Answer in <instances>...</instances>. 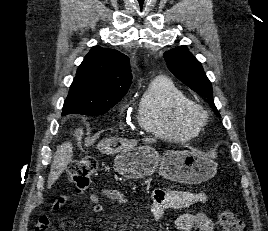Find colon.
<instances>
[{"instance_id":"1","label":"colon","mask_w":268,"mask_h":231,"mask_svg":"<svg viewBox=\"0 0 268 231\" xmlns=\"http://www.w3.org/2000/svg\"><path fill=\"white\" fill-rule=\"evenodd\" d=\"M96 168L97 163L91 158H83L68 165V175L77 191H83L89 186ZM220 224L223 231H248L246 225L229 210L221 213Z\"/></svg>"}]
</instances>
